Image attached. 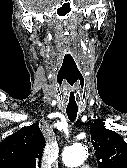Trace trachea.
<instances>
[{"label": "trachea", "instance_id": "1", "mask_svg": "<svg viewBox=\"0 0 127 168\" xmlns=\"http://www.w3.org/2000/svg\"><path fill=\"white\" fill-rule=\"evenodd\" d=\"M78 107L77 106H67L66 113L70 122H74L77 117Z\"/></svg>", "mask_w": 127, "mask_h": 168}]
</instances>
